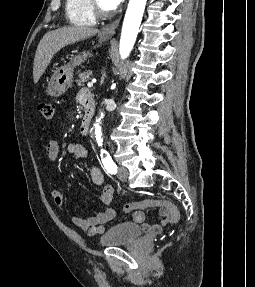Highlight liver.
Instances as JSON below:
<instances>
[{
  "instance_id": "1",
  "label": "liver",
  "mask_w": 255,
  "mask_h": 287,
  "mask_svg": "<svg viewBox=\"0 0 255 287\" xmlns=\"http://www.w3.org/2000/svg\"><path fill=\"white\" fill-rule=\"evenodd\" d=\"M98 32L97 28H91V26H65V28L47 32L37 46L33 66L34 84L39 82L54 54H57L64 46L87 40L91 36H96Z\"/></svg>"
}]
</instances>
